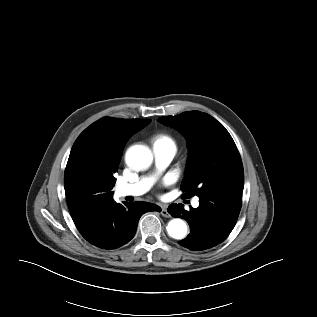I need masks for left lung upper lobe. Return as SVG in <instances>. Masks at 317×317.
Segmentation results:
<instances>
[{
	"label": "left lung upper lobe",
	"instance_id": "left-lung-upper-lobe-1",
	"mask_svg": "<svg viewBox=\"0 0 317 317\" xmlns=\"http://www.w3.org/2000/svg\"><path fill=\"white\" fill-rule=\"evenodd\" d=\"M159 121L181 131L187 138L189 158L181 184L183 197H199L214 191H243L241 157L221 123L200 111L161 117Z\"/></svg>",
	"mask_w": 317,
	"mask_h": 317
}]
</instances>
